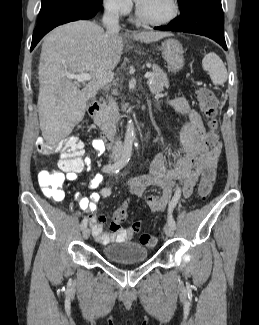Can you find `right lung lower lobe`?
Wrapping results in <instances>:
<instances>
[{"label": "right lung lower lobe", "instance_id": "98d812e1", "mask_svg": "<svg viewBox=\"0 0 259 325\" xmlns=\"http://www.w3.org/2000/svg\"><path fill=\"white\" fill-rule=\"evenodd\" d=\"M99 10L100 7L82 5H63L49 10L42 17L38 18L30 50L32 51L42 37L56 26L80 19H90Z\"/></svg>", "mask_w": 259, "mask_h": 325}]
</instances>
